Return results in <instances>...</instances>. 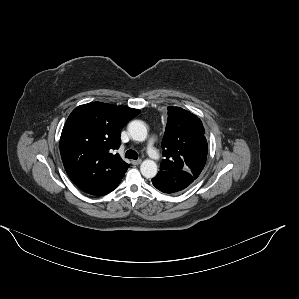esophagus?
Instances as JSON below:
<instances>
[{"label":"esophagus","mask_w":299,"mask_h":299,"mask_svg":"<svg viewBox=\"0 0 299 299\" xmlns=\"http://www.w3.org/2000/svg\"><path fill=\"white\" fill-rule=\"evenodd\" d=\"M142 160L141 159H138V160H132V164L133 165H139L141 164Z\"/></svg>","instance_id":"1"}]
</instances>
